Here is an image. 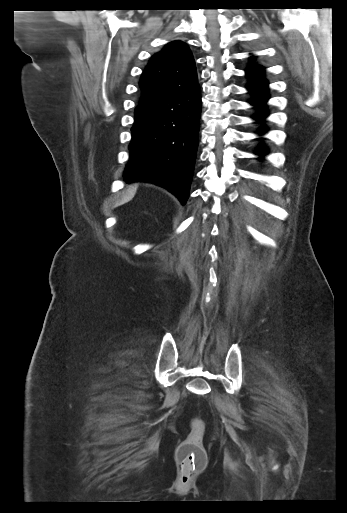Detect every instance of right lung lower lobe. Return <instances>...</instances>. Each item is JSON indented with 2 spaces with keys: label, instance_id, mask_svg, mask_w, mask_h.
I'll return each instance as SVG.
<instances>
[{
  "label": "right lung lower lobe",
  "instance_id": "obj_1",
  "mask_svg": "<svg viewBox=\"0 0 347 513\" xmlns=\"http://www.w3.org/2000/svg\"><path fill=\"white\" fill-rule=\"evenodd\" d=\"M200 114L199 85L168 97L140 101L131 129L125 181H148L165 187L184 205L199 142Z\"/></svg>",
  "mask_w": 347,
  "mask_h": 513
}]
</instances>
